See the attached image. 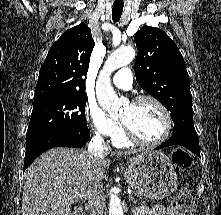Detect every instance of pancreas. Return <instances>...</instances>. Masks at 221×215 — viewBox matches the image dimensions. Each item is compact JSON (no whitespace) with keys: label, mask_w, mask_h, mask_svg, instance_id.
I'll use <instances>...</instances> for the list:
<instances>
[{"label":"pancreas","mask_w":221,"mask_h":215,"mask_svg":"<svg viewBox=\"0 0 221 215\" xmlns=\"http://www.w3.org/2000/svg\"><path fill=\"white\" fill-rule=\"evenodd\" d=\"M132 196H133V203L134 204L144 205V203H145L144 198L139 193H133ZM134 197H136V198L134 199Z\"/></svg>","instance_id":"cf45deb5"}]
</instances>
